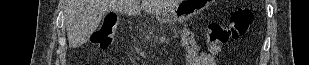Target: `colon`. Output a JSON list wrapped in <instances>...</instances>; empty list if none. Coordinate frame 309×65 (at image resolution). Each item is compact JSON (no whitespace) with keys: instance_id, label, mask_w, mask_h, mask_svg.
Returning a JSON list of instances; mask_svg holds the SVG:
<instances>
[{"instance_id":"obj_1","label":"colon","mask_w":309,"mask_h":65,"mask_svg":"<svg viewBox=\"0 0 309 65\" xmlns=\"http://www.w3.org/2000/svg\"><path fill=\"white\" fill-rule=\"evenodd\" d=\"M253 23V12L248 8H238L230 16L227 24L209 23L205 27L206 39L210 44L225 43L244 36ZM118 22L114 19L105 21L94 37V45L107 50L112 45Z\"/></svg>"}]
</instances>
